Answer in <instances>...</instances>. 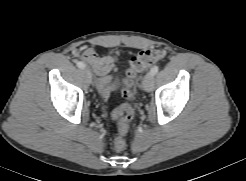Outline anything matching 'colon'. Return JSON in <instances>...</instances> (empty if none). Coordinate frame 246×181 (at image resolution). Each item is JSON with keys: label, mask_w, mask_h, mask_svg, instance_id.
Listing matches in <instances>:
<instances>
[{"label": "colon", "mask_w": 246, "mask_h": 181, "mask_svg": "<svg viewBox=\"0 0 246 181\" xmlns=\"http://www.w3.org/2000/svg\"><path fill=\"white\" fill-rule=\"evenodd\" d=\"M161 57L162 52L157 49H142L131 58L126 71L127 79L124 83L125 88L122 92L124 98H133L134 80ZM133 115L134 111L129 105H121L114 110L113 116L118 120L119 135L112 140V146L117 151L125 148L123 136L128 131Z\"/></svg>", "instance_id": "5ec220e1"}]
</instances>
